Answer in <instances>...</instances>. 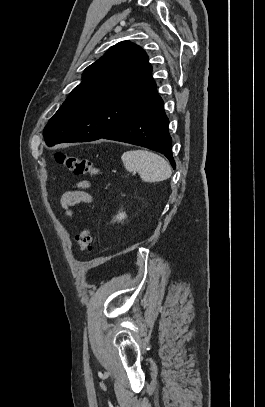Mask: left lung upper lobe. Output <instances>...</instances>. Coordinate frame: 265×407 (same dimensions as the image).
I'll return each instance as SVG.
<instances>
[{"label":"left lung upper lobe","mask_w":265,"mask_h":407,"mask_svg":"<svg viewBox=\"0 0 265 407\" xmlns=\"http://www.w3.org/2000/svg\"><path fill=\"white\" fill-rule=\"evenodd\" d=\"M148 56L123 41L112 46L83 73L82 82L44 129L48 146L103 138L155 105L161 97Z\"/></svg>","instance_id":"1"}]
</instances>
